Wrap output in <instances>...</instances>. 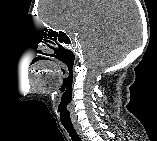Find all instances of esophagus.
Wrapping results in <instances>:
<instances>
[{
  "label": "esophagus",
  "instance_id": "esophagus-1",
  "mask_svg": "<svg viewBox=\"0 0 157 141\" xmlns=\"http://www.w3.org/2000/svg\"><path fill=\"white\" fill-rule=\"evenodd\" d=\"M75 130L78 133V135L80 136L81 140L85 141L86 137H85L84 133L81 131V129L78 126H75Z\"/></svg>",
  "mask_w": 157,
  "mask_h": 141
}]
</instances>
